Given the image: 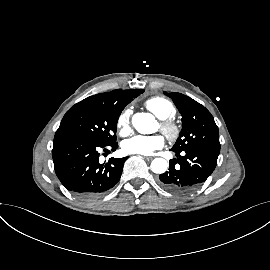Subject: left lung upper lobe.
I'll return each mask as SVG.
<instances>
[{
    "mask_svg": "<svg viewBox=\"0 0 270 270\" xmlns=\"http://www.w3.org/2000/svg\"><path fill=\"white\" fill-rule=\"evenodd\" d=\"M182 115V130L171 150L191 149L220 152L219 132L211 113L192 98L177 92L167 93Z\"/></svg>",
    "mask_w": 270,
    "mask_h": 270,
    "instance_id": "left-lung-upper-lobe-1",
    "label": "left lung upper lobe"
}]
</instances>
